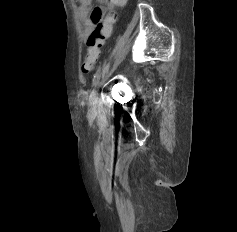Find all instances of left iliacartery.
Wrapping results in <instances>:
<instances>
[{
  "label": "left iliac artery",
  "mask_w": 237,
  "mask_h": 232,
  "mask_svg": "<svg viewBox=\"0 0 237 232\" xmlns=\"http://www.w3.org/2000/svg\"><path fill=\"white\" fill-rule=\"evenodd\" d=\"M100 76H101V68H99L97 70V72L95 73L94 75V78H93V85L96 84V82L100 79Z\"/></svg>",
  "instance_id": "1"
}]
</instances>
